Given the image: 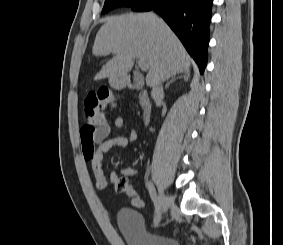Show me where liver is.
Segmentation results:
<instances>
[{"mask_svg": "<svg viewBox=\"0 0 283 245\" xmlns=\"http://www.w3.org/2000/svg\"><path fill=\"white\" fill-rule=\"evenodd\" d=\"M92 52L97 57L114 54L95 76L96 80L126 77L135 59L148 65L146 84L149 87L190 70L185 48L153 13L108 17L96 35Z\"/></svg>", "mask_w": 283, "mask_h": 245, "instance_id": "liver-1", "label": "liver"}]
</instances>
